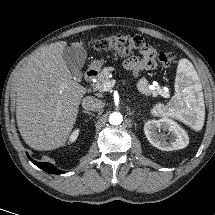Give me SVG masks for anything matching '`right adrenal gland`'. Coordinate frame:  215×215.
<instances>
[{"instance_id": "2a0ac1e0", "label": "right adrenal gland", "mask_w": 215, "mask_h": 215, "mask_svg": "<svg viewBox=\"0 0 215 215\" xmlns=\"http://www.w3.org/2000/svg\"><path fill=\"white\" fill-rule=\"evenodd\" d=\"M82 113L89 114V115L92 114L91 112H89V111H87V110H82Z\"/></svg>"}]
</instances>
